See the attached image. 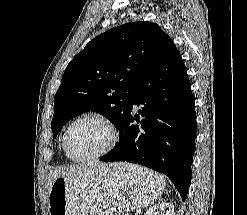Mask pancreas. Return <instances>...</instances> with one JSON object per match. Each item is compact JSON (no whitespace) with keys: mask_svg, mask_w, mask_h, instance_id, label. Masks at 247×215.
<instances>
[{"mask_svg":"<svg viewBox=\"0 0 247 215\" xmlns=\"http://www.w3.org/2000/svg\"><path fill=\"white\" fill-rule=\"evenodd\" d=\"M119 215H130L129 213H120Z\"/></svg>","mask_w":247,"mask_h":215,"instance_id":"1","label":"pancreas"}]
</instances>
